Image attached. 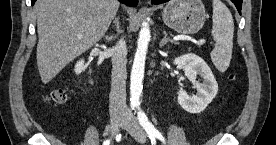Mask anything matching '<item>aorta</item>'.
Wrapping results in <instances>:
<instances>
[{
	"label": "aorta",
	"mask_w": 276,
	"mask_h": 145,
	"mask_svg": "<svg viewBox=\"0 0 276 145\" xmlns=\"http://www.w3.org/2000/svg\"><path fill=\"white\" fill-rule=\"evenodd\" d=\"M150 30L147 23H143V27L139 32L137 40V50L135 53L131 77H130V102L132 106L140 105V97L142 95L143 78L145 70V60L150 42Z\"/></svg>",
	"instance_id": "762f6f07"
}]
</instances>
